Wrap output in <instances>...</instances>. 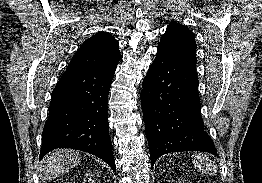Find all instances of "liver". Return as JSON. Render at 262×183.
<instances>
[{
  "instance_id": "liver-1",
  "label": "liver",
  "mask_w": 262,
  "mask_h": 183,
  "mask_svg": "<svg viewBox=\"0 0 262 183\" xmlns=\"http://www.w3.org/2000/svg\"><path fill=\"white\" fill-rule=\"evenodd\" d=\"M81 162L80 152L72 149H58L45 156L40 167V178L44 181L62 175Z\"/></svg>"
}]
</instances>
